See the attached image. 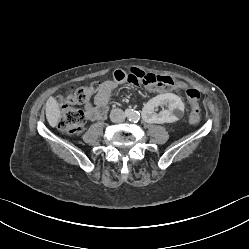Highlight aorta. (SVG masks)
<instances>
[{"label":"aorta","instance_id":"762f6f07","mask_svg":"<svg viewBox=\"0 0 249 249\" xmlns=\"http://www.w3.org/2000/svg\"><path fill=\"white\" fill-rule=\"evenodd\" d=\"M127 118L129 121L131 122H138V120L140 119V114L138 111H135V110H130L128 113H127Z\"/></svg>","mask_w":249,"mask_h":249}]
</instances>
